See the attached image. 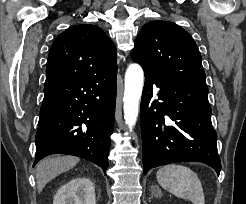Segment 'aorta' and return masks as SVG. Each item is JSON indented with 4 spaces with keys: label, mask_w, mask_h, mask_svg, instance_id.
Wrapping results in <instances>:
<instances>
[{
    "label": "aorta",
    "mask_w": 246,
    "mask_h": 204,
    "mask_svg": "<svg viewBox=\"0 0 246 204\" xmlns=\"http://www.w3.org/2000/svg\"><path fill=\"white\" fill-rule=\"evenodd\" d=\"M143 85L144 72L142 67L137 63L130 64L125 73L123 98L124 119L130 131H132L137 122Z\"/></svg>",
    "instance_id": "aorta-1"
}]
</instances>
